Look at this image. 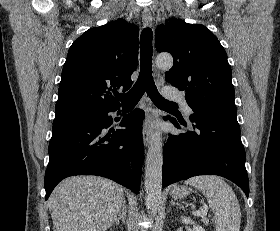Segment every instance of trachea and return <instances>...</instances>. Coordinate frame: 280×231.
I'll list each match as a JSON object with an SVG mask.
<instances>
[{
  "instance_id": "trachea-1",
  "label": "trachea",
  "mask_w": 280,
  "mask_h": 231,
  "mask_svg": "<svg viewBox=\"0 0 280 231\" xmlns=\"http://www.w3.org/2000/svg\"><path fill=\"white\" fill-rule=\"evenodd\" d=\"M140 49V73L135 85L127 93L115 94V96L124 106H135L146 91L158 108L178 110L177 103L165 100L159 94L154 83L152 76V30L150 28H144L141 33Z\"/></svg>"
}]
</instances>
